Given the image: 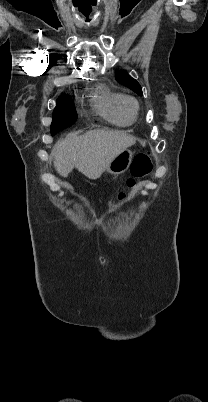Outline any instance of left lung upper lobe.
<instances>
[{"instance_id":"1","label":"left lung upper lobe","mask_w":208,"mask_h":402,"mask_svg":"<svg viewBox=\"0 0 208 402\" xmlns=\"http://www.w3.org/2000/svg\"><path fill=\"white\" fill-rule=\"evenodd\" d=\"M116 80L120 84L135 91L140 96L143 95L140 84L135 79H133L131 76H129L126 72L121 71V72L116 73Z\"/></svg>"}]
</instances>
